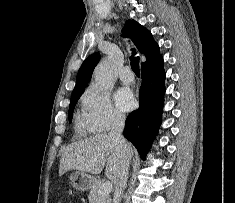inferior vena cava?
<instances>
[{
  "label": "inferior vena cava",
  "instance_id": "obj_1",
  "mask_svg": "<svg viewBox=\"0 0 235 203\" xmlns=\"http://www.w3.org/2000/svg\"><path fill=\"white\" fill-rule=\"evenodd\" d=\"M124 125H125V116L121 114H116L113 118L111 130L109 132V135L119 142L125 155V160L121 166L119 177L115 182L113 203H120L121 196L123 194L124 189L126 188L127 177H128V167L130 159L128 152V143L126 142L125 138L122 136Z\"/></svg>",
  "mask_w": 235,
  "mask_h": 203
}]
</instances>
